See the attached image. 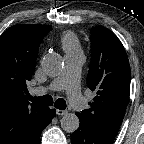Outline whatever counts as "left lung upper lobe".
I'll use <instances>...</instances> for the list:
<instances>
[{
  "label": "left lung upper lobe",
  "instance_id": "1",
  "mask_svg": "<svg viewBox=\"0 0 144 144\" xmlns=\"http://www.w3.org/2000/svg\"><path fill=\"white\" fill-rule=\"evenodd\" d=\"M91 55L87 83L96 96L76 115L99 133L116 136L129 99V60L120 40L102 26L91 29Z\"/></svg>",
  "mask_w": 144,
  "mask_h": 144
}]
</instances>
